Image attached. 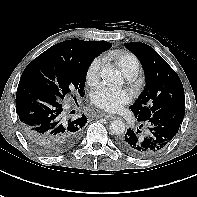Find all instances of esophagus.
<instances>
[{"instance_id":"obj_1","label":"esophagus","mask_w":197,"mask_h":197,"mask_svg":"<svg viewBox=\"0 0 197 197\" xmlns=\"http://www.w3.org/2000/svg\"><path fill=\"white\" fill-rule=\"evenodd\" d=\"M101 117H104L108 120H114L116 119V115H113V114H108V113H101L100 114Z\"/></svg>"}]
</instances>
